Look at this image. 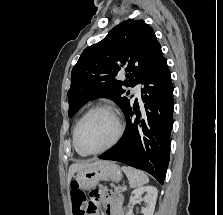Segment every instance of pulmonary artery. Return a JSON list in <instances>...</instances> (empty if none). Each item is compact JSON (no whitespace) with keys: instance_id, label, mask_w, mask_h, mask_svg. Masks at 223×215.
Returning <instances> with one entry per match:
<instances>
[{"instance_id":"e3ab8cb5","label":"pulmonary artery","mask_w":223,"mask_h":215,"mask_svg":"<svg viewBox=\"0 0 223 215\" xmlns=\"http://www.w3.org/2000/svg\"><path fill=\"white\" fill-rule=\"evenodd\" d=\"M145 83L144 82H137L135 89H132V94L134 98H143L144 94L141 93V90L144 89Z\"/></svg>"}]
</instances>
